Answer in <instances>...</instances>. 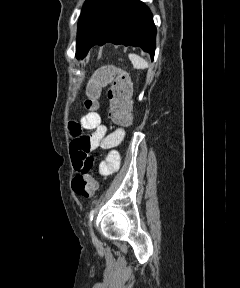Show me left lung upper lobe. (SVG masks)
I'll return each mask as SVG.
<instances>
[{
  "instance_id": "left-lung-upper-lobe-1",
  "label": "left lung upper lobe",
  "mask_w": 240,
  "mask_h": 288,
  "mask_svg": "<svg viewBox=\"0 0 240 288\" xmlns=\"http://www.w3.org/2000/svg\"><path fill=\"white\" fill-rule=\"evenodd\" d=\"M110 0H86L78 22L76 53L84 46L103 16Z\"/></svg>"
}]
</instances>
